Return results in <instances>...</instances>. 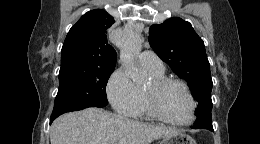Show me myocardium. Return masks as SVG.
Listing matches in <instances>:
<instances>
[{
  "mask_svg": "<svg viewBox=\"0 0 260 144\" xmlns=\"http://www.w3.org/2000/svg\"><path fill=\"white\" fill-rule=\"evenodd\" d=\"M171 85H178L181 88H183L190 99L191 115H190V118L185 122H178V121H174V120L168 118L167 116H165V114L162 112V110L159 106V98H160L162 92ZM145 97H146V103H147V106H148V109H149L151 115L164 123H167V124H170L173 126L183 127V126L190 125L195 119L197 102H196L189 86L182 80L175 79V78H167V77L153 79L151 81V83L149 84V86L145 89Z\"/></svg>",
  "mask_w": 260,
  "mask_h": 144,
  "instance_id": "f54148a6",
  "label": "myocardium"
}]
</instances>
